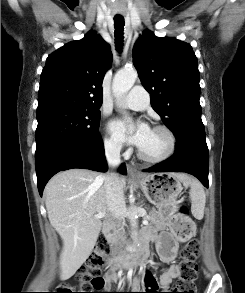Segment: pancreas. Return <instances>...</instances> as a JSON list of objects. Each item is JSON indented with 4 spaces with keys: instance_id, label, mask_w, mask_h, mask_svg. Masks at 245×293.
I'll return each instance as SVG.
<instances>
[{
    "instance_id": "1",
    "label": "pancreas",
    "mask_w": 245,
    "mask_h": 293,
    "mask_svg": "<svg viewBox=\"0 0 245 293\" xmlns=\"http://www.w3.org/2000/svg\"><path fill=\"white\" fill-rule=\"evenodd\" d=\"M145 219L149 221L147 228L151 230L159 231L166 228L165 220L161 219L154 209L149 211ZM107 240L110 243L112 254L123 253L122 247L126 244L124 224L114 226L113 233L107 236Z\"/></svg>"
}]
</instances>
